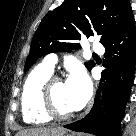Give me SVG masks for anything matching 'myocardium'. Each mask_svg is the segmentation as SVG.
Wrapping results in <instances>:
<instances>
[{
    "instance_id": "1",
    "label": "myocardium",
    "mask_w": 136,
    "mask_h": 136,
    "mask_svg": "<svg viewBox=\"0 0 136 136\" xmlns=\"http://www.w3.org/2000/svg\"><path fill=\"white\" fill-rule=\"evenodd\" d=\"M63 82V79L58 76H51L44 84L41 92V104L44 112L51 119L67 120L74 117L75 112L62 113L54 102L53 90L57 83Z\"/></svg>"
}]
</instances>
